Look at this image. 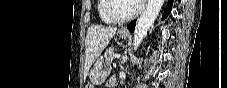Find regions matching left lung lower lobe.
<instances>
[{"mask_svg":"<svg viewBox=\"0 0 227 88\" xmlns=\"http://www.w3.org/2000/svg\"><path fill=\"white\" fill-rule=\"evenodd\" d=\"M173 1L174 0H168V3H167V7H166V10L163 14V17L162 19H165L171 12V9H172V5H173ZM135 21L132 22L131 24L128 25V29L131 30V31H134V28H135Z\"/></svg>","mask_w":227,"mask_h":88,"instance_id":"0a47b994","label":"left lung lower lobe"}]
</instances>
